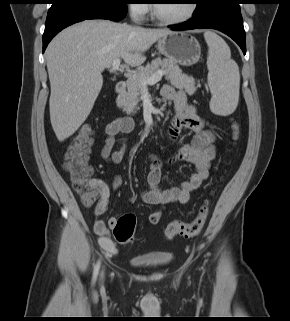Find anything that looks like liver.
<instances>
[{
  "instance_id": "obj_1",
  "label": "liver",
  "mask_w": 290,
  "mask_h": 321,
  "mask_svg": "<svg viewBox=\"0 0 290 321\" xmlns=\"http://www.w3.org/2000/svg\"><path fill=\"white\" fill-rule=\"evenodd\" d=\"M169 33L96 19L61 31L45 52L50 120L57 139L63 142L84 123L101 91L105 68L120 58L127 66L142 65L144 52Z\"/></svg>"
}]
</instances>
